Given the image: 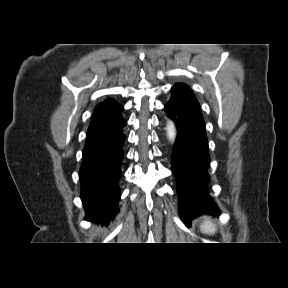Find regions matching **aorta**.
Returning <instances> with one entry per match:
<instances>
[{
    "instance_id": "obj_1",
    "label": "aorta",
    "mask_w": 288,
    "mask_h": 288,
    "mask_svg": "<svg viewBox=\"0 0 288 288\" xmlns=\"http://www.w3.org/2000/svg\"><path fill=\"white\" fill-rule=\"evenodd\" d=\"M167 137L170 141H174L176 137L175 125L172 121L167 122L166 126Z\"/></svg>"
}]
</instances>
